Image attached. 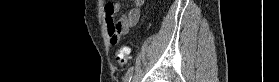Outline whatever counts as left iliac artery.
Returning <instances> with one entry per match:
<instances>
[{"mask_svg":"<svg viewBox=\"0 0 279 82\" xmlns=\"http://www.w3.org/2000/svg\"><path fill=\"white\" fill-rule=\"evenodd\" d=\"M133 71H134V67H133V66L130 67V68L127 70V72H126V74H125V76H124V78H123V82H131L132 75H133Z\"/></svg>","mask_w":279,"mask_h":82,"instance_id":"left-iliac-artery-1","label":"left iliac artery"}]
</instances>
